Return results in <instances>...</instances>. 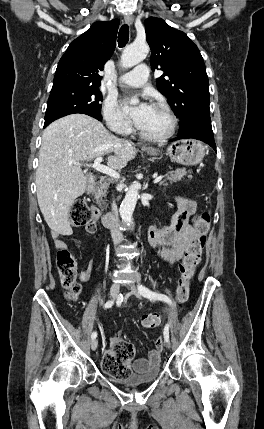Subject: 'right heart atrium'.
<instances>
[{"mask_svg": "<svg viewBox=\"0 0 264 429\" xmlns=\"http://www.w3.org/2000/svg\"><path fill=\"white\" fill-rule=\"evenodd\" d=\"M103 118L108 128L117 134L126 135L131 131V123L120 111L113 99L105 100L102 108Z\"/></svg>", "mask_w": 264, "mask_h": 429, "instance_id": "d8ad5b80", "label": "right heart atrium"}]
</instances>
